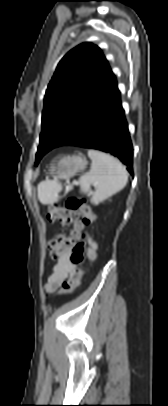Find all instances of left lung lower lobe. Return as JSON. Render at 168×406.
<instances>
[{"instance_id": "obj_1", "label": "left lung lower lobe", "mask_w": 168, "mask_h": 406, "mask_svg": "<svg viewBox=\"0 0 168 406\" xmlns=\"http://www.w3.org/2000/svg\"><path fill=\"white\" fill-rule=\"evenodd\" d=\"M62 145H76L110 153L133 165V147L116 79L88 115L81 129ZM133 174V169L127 168Z\"/></svg>"}]
</instances>
